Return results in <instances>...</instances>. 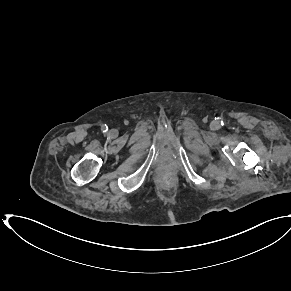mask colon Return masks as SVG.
<instances>
[{"instance_id":"colon-1","label":"colon","mask_w":291,"mask_h":291,"mask_svg":"<svg viewBox=\"0 0 291 291\" xmlns=\"http://www.w3.org/2000/svg\"><path fill=\"white\" fill-rule=\"evenodd\" d=\"M169 178H170V175H169L168 173H166V174L164 175V179L167 180V179H169Z\"/></svg>"}]
</instances>
